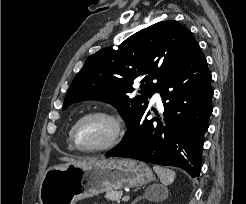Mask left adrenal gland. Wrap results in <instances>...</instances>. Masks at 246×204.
Returning <instances> with one entry per match:
<instances>
[{
    "mask_svg": "<svg viewBox=\"0 0 246 204\" xmlns=\"http://www.w3.org/2000/svg\"><path fill=\"white\" fill-rule=\"evenodd\" d=\"M143 197V196H142ZM141 196L140 197H137L133 202L132 204H135L140 198H142Z\"/></svg>",
    "mask_w": 246,
    "mask_h": 204,
    "instance_id": "left-adrenal-gland-1",
    "label": "left adrenal gland"
}]
</instances>
